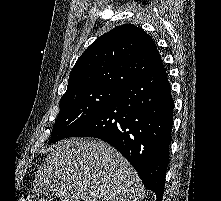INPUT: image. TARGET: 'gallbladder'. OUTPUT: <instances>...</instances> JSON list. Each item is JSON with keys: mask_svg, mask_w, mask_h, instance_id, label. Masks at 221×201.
Returning <instances> with one entry per match:
<instances>
[{"mask_svg": "<svg viewBox=\"0 0 221 201\" xmlns=\"http://www.w3.org/2000/svg\"><path fill=\"white\" fill-rule=\"evenodd\" d=\"M39 201H54L57 198L56 192L49 189H40L37 193Z\"/></svg>", "mask_w": 221, "mask_h": 201, "instance_id": "obj_1", "label": "gallbladder"}]
</instances>
